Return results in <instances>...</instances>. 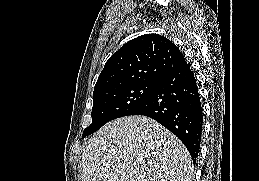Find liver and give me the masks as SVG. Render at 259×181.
I'll list each match as a JSON object with an SVG mask.
<instances>
[{
    "label": "liver",
    "instance_id": "6515ba94",
    "mask_svg": "<svg viewBox=\"0 0 259 181\" xmlns=\"http://www.w3.org/2000/svg\"><path fill=\"white\" fill-rule=\"evenodd\" d=\"M184 144L155 120L128 116L93 135L82 153L81 181H193Z\"/></svg>",
    "mask_w": 259,
    "mask_h": 181
}]
</instances>
